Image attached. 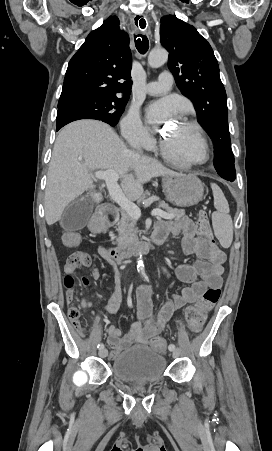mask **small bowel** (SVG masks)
I'll use <instances>...</instances> for the list:
<instances>
[{
	"instance_id": "c3829d8e",
	"label": "small bowel",
	"mask_w": 272,
	"mask_h": 451,
	"mask_svg": "<svg viewBox=\"0 0 272 451\" xmlns=\"http://www.w3.org/2000/svg\"><path fill=\"white\" fill-rule=\"evenodd\" d=\"M171 234L175 238L181 237V246L184 254H194L197 260L192 264H182L176 267L175 274L188 286L181 290L178 295L167 297L157 316L152 319V291L149 286L140 287L137 299V310L131 322L130 329L123 337L120 330L110 325L107 329V344L111 347L109 357L116 360L122 351L133 344H146L158 338L166 324L171 319L174 311L196 302L207 288H219L222 284L223 264L226 260L224 252L217 245H204L201 234L202 230L196 226L188 217L176 220H160L156 224L153 236L165 238ZM163 240V241H164ZM89 264L90 262L87 261ZM71 275L75 270H70ZM99 268H93L89 275L82 277V284L88 291L90 280L100 277ZM170 275L167 268L163 269V277ZM75 280V279H74ZM114 293L109 302L104 305V310L114 314L119 310L122 299L119 277ZM75 294L66 295L69 304L74 302ZM69 311H79L77 307L71 306ZM142 321H146L145 326Z\"/></svg>"
}]
</instances>
